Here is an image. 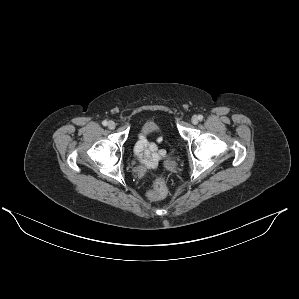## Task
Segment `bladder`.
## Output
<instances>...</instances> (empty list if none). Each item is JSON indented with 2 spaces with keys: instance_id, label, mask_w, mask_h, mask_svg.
<instances>
[{
  "instance_id": "31cf9c89",
  "label": "bladder",
  "mask_w": 299,
  "mask_h": 299,
  "mask_svg": "<svg viewBox=\"0 0 299 299\" xmlns=\"http://www.w3.org/2000/svg\"><path fill=\"white\" fill-rule=\"evenodd\" d=\"M161 128L158 123L155 121H146L141 125L137 132V139L139 140L141 137H149L156 133H159ZM172 150H174V146H172Z\"/></svg>"
}]
</instances>
